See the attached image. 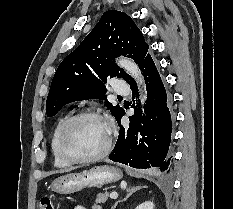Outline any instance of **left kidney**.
<instances>
[{
	"mask_svg": "<svg viewBox=\"0 0 233 209\" xmlns=\"http://www.w3.org/2000/svg\"><path fill=\"white\" fill-rule=\"evenodd\" d=\"M135 209H154V204L151 201H146L137 206Z\"/></svg>",
	"mask_w": 233,
	"mask_h": 209,
	"instance_id": "left-kidney-1",
	"label": "left kidney"
}]
</instances>
